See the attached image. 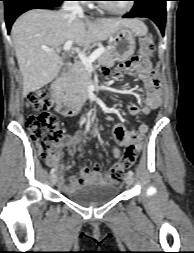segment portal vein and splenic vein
Here are the masks:
<instances>
[{
	"mask_svg": "<svg viewBox=\"0 0 194 253\" xmlns=\"http://www.w3.org/2000/svg\"><path fill=\"white\" fill-rule=\"evenodd\" d=\"M73 45V41L72 40H69L67 41L64 46H63V50L64 51H70V50H73V51H76L78 53V56L81 60V62L86 66V67H92V63L98 58L100 57V55L104 52L105 48L104 47H100L98 49H96L90 56H86L85 53L81 52L80 49L78 48H73L72 47ZM42 50L45 51V52H60L61 49H56V50H53L51 48H48V47H45L43 46L42 47Z\"/></svg>",
	"mask_w": 194,
	"mask_h": 253,
	"instance_id": "18ae733b",
	"label": "portal vein and splenic vein"
}]
</instances>
